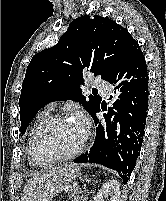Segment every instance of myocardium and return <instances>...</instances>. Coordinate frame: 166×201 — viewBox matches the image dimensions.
<instances>
[{
	"label": "myocardium",
	"mask_w": 166,
	"mask_h": 201,
	"mask_svg": "<svg viewBox=\"0 0 166 201\" xmlns=\"http://www.w3.org/2000/svg\"><path fill=\"white\" fill-rule=\"evenodd\" d=\"M66 120H67V117L64 115H54L44 120L37 127L33 136L32 149H31L32 158L36 165L43 166V165H48V164H52L56 162L66 161L76 157L82 152L85 145V138H83L81 144L74 151L70 153L61 154V155H48L46 158L42 157V154L40 152V139L42 134L53 125L62 121H66Z\"/></svg>",
	"instance_id": "obj_1"
}]
</instances>
